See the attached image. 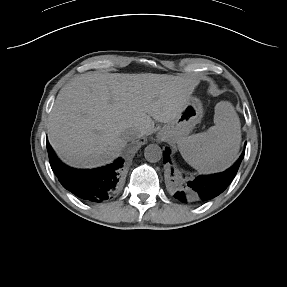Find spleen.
<instances>
[{
	"instance_id": "obj_1",
	"label": "spleen",
	"mask_w": 287,
	"mask_h": 287,
	"mask_svg": "<svg viewBox=\"0 0 287 287\" xmlns=\"http://www.w3.org/2000/svg\"><path fill=\"white\" fill-rule=\"evenodd\" d=\"M214 123L207 131L177 142L184 160L202 173L222 172L238 158L241 125L234 107L228 102H219L215 106Z\"/></svg>"
}]
</instances>
